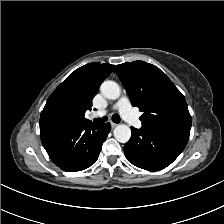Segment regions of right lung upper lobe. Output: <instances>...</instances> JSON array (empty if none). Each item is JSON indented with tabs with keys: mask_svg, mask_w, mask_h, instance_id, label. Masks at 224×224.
Segmentation results:
<instances>
[{
	"mask_svg": "<svg viewBox=\"0 0 224 224\" xmlns=\"http://www.w3.org/2000/svg\"><path fill=\"white\" fill-rule=\"evenodd\" d=\"M113 68L114 65L107 63H89L78 68L54 90L45 107L53 102H63L70 110L71 122L92 123L85 119V112L91 108L99 86Z\"/></svg>",
	"mask_w": 224,
	"mask_h": 224,
	"instance_id": "cb5924a9",
	"label": "right lung upper lobe"
}]
</instances>
